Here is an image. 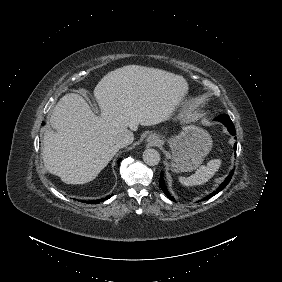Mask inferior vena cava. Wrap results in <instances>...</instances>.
<instances>
[{"label":"inferior vena cava","instance_id":"inferior-vena-cava-1","mask_svg":"<svg viewBox=\"0 0 282 282\" xmlns=\"http://www.w3.org/2000/svg\"><path fill=\"white\" fill-rule=\"evenodd\" d=\"M133 133L126 129L120 133H118L115 137H114V143L118 148H123L129 144H131L133 142Z\"/></svg>","mask_w":282,"mask_h":282}]
</instances>
